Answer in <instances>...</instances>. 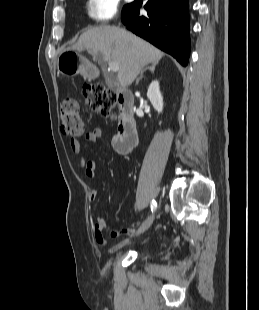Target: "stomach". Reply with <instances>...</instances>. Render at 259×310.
<instances>
[{"label": "stomach", "instance_id": "0dacf381", "mask_svg": "<svg viewBox=\"0 0 259 310\" xmlns=\"http://www.w3.org/2000/svg\"><path fill=\"white\" fill-rule=\"evenodd\" d=\"M57 69L65 75L81 74L90 78L94 67L77 50L67 48L58 56Z\"/></svg>", "mask_w": 259, "mask_h": 310}]
</instances>
